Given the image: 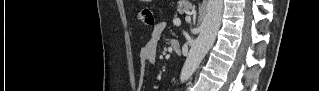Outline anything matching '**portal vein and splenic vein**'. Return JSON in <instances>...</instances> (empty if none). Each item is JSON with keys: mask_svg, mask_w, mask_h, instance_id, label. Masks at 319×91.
<instances>
[{"mask_svg": "<svg viewBox=\"0 0 319 91\" xmlns=\"http://www.w3.org/2000/svg\"><path fill=\"white\" fill-rule=\"evenodd\" d=\"M173 22H174L175 25H180L181 24V21L179 19H175Z\"/></svg>", "mask_w": 319, "mask_h": 91, "instance_id": "18ae733b", "label": "portal vein and splenic vein"}]
</instances>
